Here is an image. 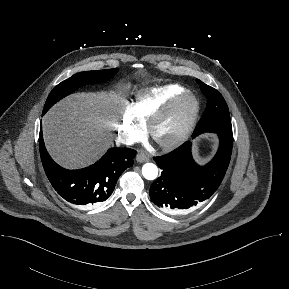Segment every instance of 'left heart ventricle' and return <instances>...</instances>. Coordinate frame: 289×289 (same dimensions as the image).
I'll return each mask as SVG.
<instances>
[{"instance_id":"b2bd125f","label":"left heart ventricle","mask_w":289,"mask_h":289,"mask_svg":"<svg viewBox=\"0 0 289 289\" xmlns=\"http://www.w3.org/2000/svg\"><path fill=\"white\" fill-rule=\"evenodd\" d=\"M189 111V104L181 102L164 119H162L156 129L155 137L158 140H167L174 137L181 129Z\"/></svg>"}]
</instances>
